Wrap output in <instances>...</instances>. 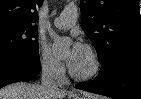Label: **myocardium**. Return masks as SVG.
Masks as SVG:
<instances>
[{
    "mask_svg": "<svg viewBox=\"0 0 141 99\" xmlns=\"http://www.w3.org/2000/svg\"><path fill=\"white\" fill-rule=\"evenodd\" d=\"M85 51L89 54L92 62L91 69L86 73H78L73 68H69L70 75L77 81H88L95 78L101 71L102 63L98 51L91 45L84 46Z\"/></svg>",
    "mask_w": 141,
    "mask_h": 99,
    "instance_id": "1",
    "label": "myocardium"
}]
</instances>
